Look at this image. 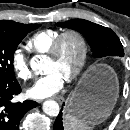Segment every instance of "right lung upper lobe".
Wrapping results in <instances>:
<instances>
[{
  "label": "right lung upper lobe",
  "mask_w": 130,
  "mask_h": 130,
  "mask_svg": "<svg viewBox=\"0 0 130 130\" xmlns=\"http://www.w3.org/2000/svg\"><path fill=\"white\" fill-rule=\"evenodd\" d=\"M19 25H20V23H17V22H14V21H9V20H1L0 21V26L17 27Z\"/></svg>",
  "instance_id": "obj_1"
}]
</instances>
